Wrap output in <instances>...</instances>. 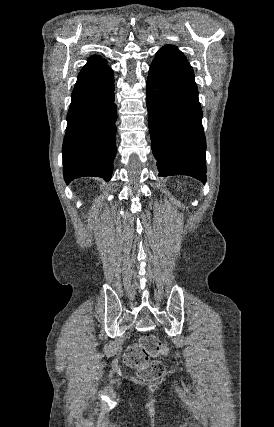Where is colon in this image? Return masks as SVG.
<instances>
[{
  "mask_svg": "<svg viewBox=\"0 0 274 427\" xmlns=\"http://www.w3.org/2000/svg\"><path fill=\"white\" fill-rule=\"evenodd\" d=\"M167 352L168 348L159 339L145 335L126 348L124 362L137 372L139 379L158 380L165 376L166 367L154 358Z\"/></svg>",
  "mask_w": 274,
  "mask_h": 427,
  "instance_id": "1",
  "label": "colon"
}]
</instances>
